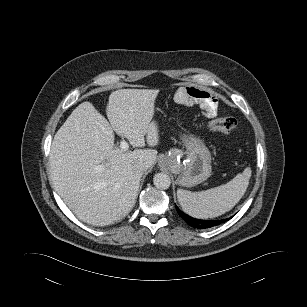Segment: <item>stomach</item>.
<instances>
[{
  "mask_svg": "<svg viewBox=\"0 0 307 307\" xmlns=\"http://www.w3.org/2000/svg\"><path fill=\"white\" fill-rule=\"evenodd\" d=\"M184 152L174 148L159 160L161 167L167 168L177 175V182L184 187L196 186L211 175V154L202 140L189 134H182ZM186 155L187 161L182 163L180 157Z\"/></svg>",
  "mask_w": 307,
  "mask_h": 307,
  "instance_id": "stomach-1",
  "label": "stomach"
}]
</instances>
